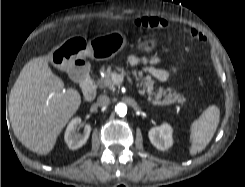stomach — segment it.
Returning a JSON list of instances; mask_svg holds the SVG:
<instances>
[{
	"mask_svg": "<svg viewBox=\"0 0 245 187\" xmlns=\"http://www.w3.org/2000/svg\"><path fill=\"white\" fill-rule=\"evenodd\" d=\"M127 45V39L120 31H113L87 41L81 37H70L55 47L49 57L51 64L60 69L68 70L78 59L90 57L95 61L113 58ZM157 46L155 38L145 39L137 44L141 51L150 52Z\"/></svg>",
	"mask_w": 245,
	"mask_h": 187,
	"instance_id": "stomach-1",
	"label": "stomach"
}]
</instances>
